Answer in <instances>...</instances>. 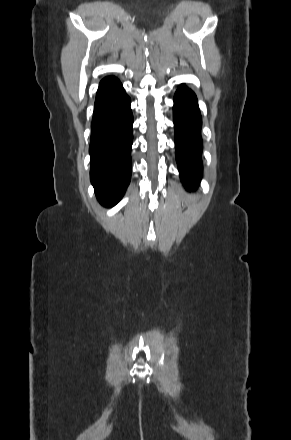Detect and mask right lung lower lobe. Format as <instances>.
Here are the masks:
<instances>
[{
	"label": "right lung lower lobe",
	"mask_w": 291,
	"mask_h": 440,
	"mask_svg": "<svg viewBox=\"0 0 291 440\" xmlns=\"http://www.w3.org/2000/svg\"><path fill=\"white\" fill-rule=\"evenodd\" d=\"M130 98L120 81L101 80L95 101L90 138V178L104 206H114L123 196L131 177L133 115Z\"/></svg>",
	"instance_id": "1"
}]
</instances>
